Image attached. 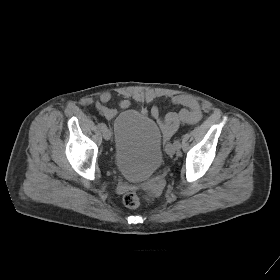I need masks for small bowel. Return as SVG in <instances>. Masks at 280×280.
Instances as JSON below:
<instances>
[{
    "mask_svg": "<svg viewBox=\"0 0 280 280\" xmlns=\"http://www.w3.org/2000/svg\"><path fill=\"white\" fill-rule=\"evenodd\" d=\"M112 95L110 92H103L96 103V108L99 113L105 118H113L117 111L108 106ZM175 105L181 106L179 112H171L161 117L160 111L157 107H152L151 115L158 121L159 127L166 140L171 138L178 130L180 123L193 125L202 119V109L199 102L187 95H177L172 98ZM131 105L129 100H121L119 103L120 108L127 109Z\"/></svg>",
    "mask_w": 280,
    "mask_h": 280,
    "instance_id": "obj_1",
    "label": "small bowel"
}]
</instances>
